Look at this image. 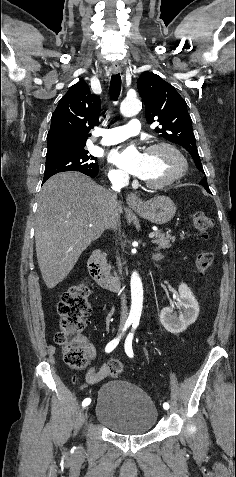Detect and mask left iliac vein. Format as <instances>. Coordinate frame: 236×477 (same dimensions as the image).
<instances>
[{"instance_id": "4c4485c4", "label": "left iliac vein", "mask_w": 236, "mask_h": 477, "mask_svg": "<svg viewBox=\"0 0 236 477\" xmlns=\"http://www.w3.org/2000/svg\"><path fill=\"white\" fill-rule=\"evenodd\" d=\"M162 411H163V413H165V416H166V417H169V416H170V413H171V412H170V410H168V408L165 407V408H163Z\"/></svg>"}]
</instances>
